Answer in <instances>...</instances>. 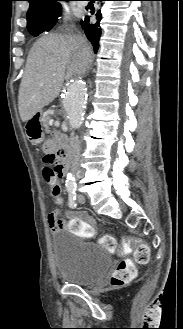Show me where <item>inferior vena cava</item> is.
Wrapping results in <instances>:
<instances>
[{"mask_svg": "<svg viewBox=\"0 0 183 329\" xmlns=\"http://www.w3.org/2000/svg\"><path fill=\"white\" fill-rule=\"evenodd\" d=\"M78 58L81 63L83 73L88 71L91 65V51L89 48H83L79 51ZM80 147L81 142L78 136L74 134L70 137V156H71V171L72 175H77L79 172V160H80Z\"/></svg>", "mask_w": 183, "mask_h": 329, "instance_id": "inferior-vena-cava-1", "label": "inferior vena cava"}]
</instances>
